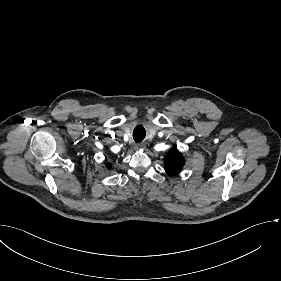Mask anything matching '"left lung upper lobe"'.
I'll list each match as a JSON object with an SVG mask.
<instances>
[{"instance_id":"obj_1","label":"left lung upper lobe","mask_w":281,"mask_h":281,"mask_svg":"<svg viewBox=\"0 0 281 281\" xmlns=\"http://www.w3.org/2000/svg\"><path fill=\"white\" fill-rule=\"evenodd\" d=\"M164 164L167 174L176 175L184 166V158L178 151H171L165 156Z\"/></svg>"}]
</instances>
